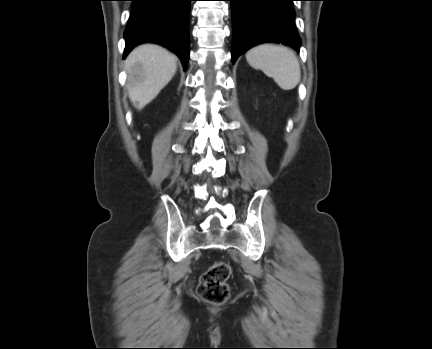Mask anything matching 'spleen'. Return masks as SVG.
<instances>
[{"mask_svg": "<svg viewBox=\"0 0 432 349\" xmlns=\"http://www.w3.org/2000/svg\"><path fill=\"white\" fill-rule=\"evenodd\" d=\"M250 66L262 70L283 90H292L301 79L299 61L292 50L282 45L262 44L246 53Z\"/></svg>", "mask_w": 432, "mask_h": 349, "instance_id": "1", "label": "spleen"}]
</instances>
